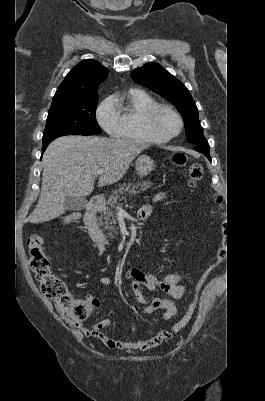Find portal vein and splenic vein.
Wrapping results in <instances>:
<instances>
[{
	"label": "portal vein and splenic vein",
	"instance_id": "obj_1",
	"mask_svg": "<svg viewBox=\"0 0 265 401\" xmlns=\"http://www.w3.org/2000/svg\"><path fill=\"white\" fill-rule=\"evenodd\" d=\"M104 172V168H99V170H97V174H103ZM119 209H121V207H119Z\"/></svg>",
	"mask_w": 265,
	"mask_h": 401
}]
</instances>
